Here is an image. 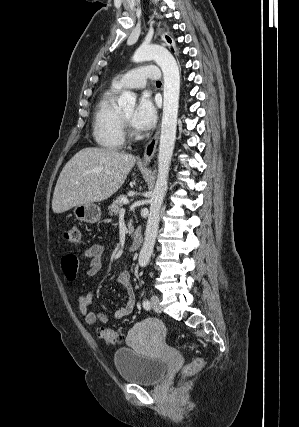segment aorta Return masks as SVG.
<instances>
[{
	"mask_svg": "<svg viewBox=\"0 0 299 427\" xmlns=\"http://www.w3.org/2000/svg\"><path fill=\"white\" fill-rule=\"evenodd\" d=\"M132 60L135 63L154 60L161 68L164 77V101L158 153V174L150 199V211L145 230V240L138 259L139 265L145 267L149 263L153 252L159 228L160 209L168 188V174L176 140L180 72L173 55L162 46L141 45L135 51ZM135 103L136 96L130 91L123 92L118 99L119 107L125 111H133Z\"/></svg>",
	"mask_w": 299,
	"mask_h": 427,
	"instance_id": "1",
	"label": "aorta"
}]
</instances>
